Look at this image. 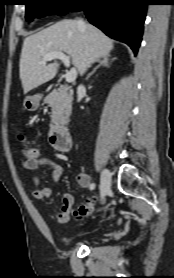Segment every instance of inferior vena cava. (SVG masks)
Returning a JSON list of instances; mask_svg holds the SVG:
<instances>
[{"mask_svg":"<svg viewBox=\"0 0 174 278\" xmlns=\"http://www.w3.org/2000/svg\"><path fill=\"white\" fill-rule=\"evenodd\" d=\"M77 23H78V26H79V28L80 29H84L85 28V23H84V21L82 20V19H79L78 21H77ZM79 89H84V86L83 85H80L79 86Z\"/></svg>","mask_w":174,"mask_h":278,"instance_id":"1","label":"inferior vena cava"}]
</instances>
